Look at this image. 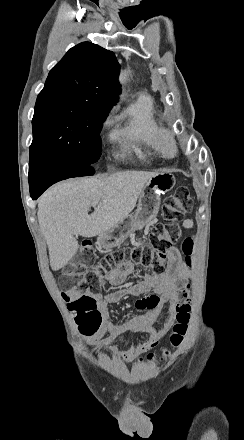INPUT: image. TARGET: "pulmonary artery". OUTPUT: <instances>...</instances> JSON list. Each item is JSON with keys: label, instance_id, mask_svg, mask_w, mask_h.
Segmentation results:
<instances>
[{"label": "pulmonary artery", "instance_id": "obj_1", "mask_svg": "<svg viewBox=\"0 0 244 440\" xmlns=\"http://www.w3.org/2000/svg\"><path fill=\"white\" fill-rule=\"evenodd\" d=\"M139 99L141 102H148L151 100V95L149 94L148 91H143L140 96Z\"/></svg>", "mask_w": 244, "mask_h": 440}]
</instances>
